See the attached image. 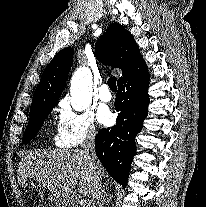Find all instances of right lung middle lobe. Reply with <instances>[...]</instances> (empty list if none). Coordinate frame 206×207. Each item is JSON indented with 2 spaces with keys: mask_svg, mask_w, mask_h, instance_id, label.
<instances>
[{
  "mask_svg": "<svg viewBox=\"0 0 206 207\" xmlns=\"http://www.w3.org/2000/svg\"><path fill=\"white\" fill-rule=\"evenodd\" d=\"M54 107H55V104H47L30 112L29 123L26 127L24 137H23V142L25 144H27L34 137H36L37 132L42 126L45 118L49 115V113L52 111Z\"/></svg>",
  "mask_w": 206,
  "mask_h": 207,
  "instance_id": "1",
  "label": "right lung middle lobe"
}]
</instances>
